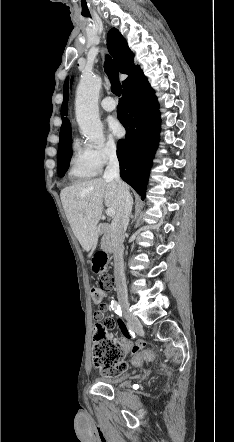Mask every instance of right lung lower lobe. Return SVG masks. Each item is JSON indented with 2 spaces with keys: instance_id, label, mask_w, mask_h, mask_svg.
I'll return each instance as SVG.
<instances>
[{
  "instance_id": "obj_1",
  "label": "right lung lower lobe",
  "mask_w": 234,
  "mask_h": 442,
  "mask_svg": "<svg viewBox=\"0 0 234 442\" xmlns=\"http://www.w3.org/2000/svg\"><path fill=\"white\" fill-rule=\"evenodd\" d=\"M117 114L126 129L125 138L117 144L120 175L144 199L159 142L160 118L154 90L143 72L123 85Z\"/></svg>"
}]
</instances>
